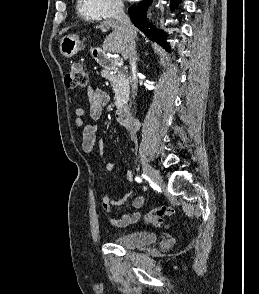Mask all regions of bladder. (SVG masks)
Wrapping results in <instances>:
<instances>
[{
  "mask_svg": "<svg viewBox=\"0 0 259 294\" xmlns=\"http://www.w3.org/2000/svg\"><path fill=\"white\" fill-rule=\"evenodd\" d=\"M157 235L152 232H130L122 234L114 239V244L126 248L136 249L154 244Z\"/></svg>",
  "mask_w": 259,
  "mask_h": 294,
  "instance_id": "31cf9c89",
  "label": "bladder"
}]
</instances>
